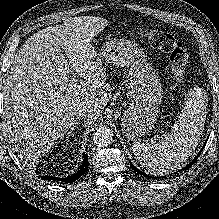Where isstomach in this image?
<instances>
[{"mask_svg":"<svg viewBox=\"0 0 219 219\" xmlns=\"http://www.w3.org/2000/svg\"><path fill=\"white\" fill-rule=\"evenodd\" d=\"M99 57L106 65L125 67L128 71L130 103L120 120L123 133L129 139L149 133L157 121L163 90L142 49L134 41L114 38L102 45Z\"/></svg>","mask_w":219,"mask_h":219,"instance_id":"stomach-1","label":"stomach"}]
</instances>
